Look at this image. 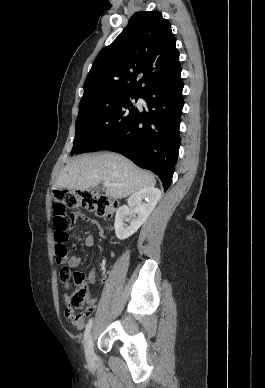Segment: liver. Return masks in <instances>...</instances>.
Masks as SVG:
<instances>
[{
  "label": "liver",
  "instance_id": "liver-1",
  "mask_svg": "<svg viewBox=\"0 0 265 388\" xmlns=\"http://www.w3.org/2000/svg\"><path fill=\"white\" fill-rule=\"evenodd\" d=\"M100 182H110L118 186L106 188L110 198H127L141 188H154L156 180L149 172L139 170L133 162L119 154L101 156H82L73 158L60 172L55 188L67 190H87L95 188Z\"/></svg>",
  "mask_w": 265,
  "mask_h": 388
}]
</instances>
